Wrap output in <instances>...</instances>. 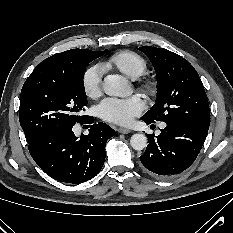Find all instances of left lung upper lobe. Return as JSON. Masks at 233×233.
I'll return each instance as SVG.
<instances>
[{"label": "left lung upper lobe", "instance_id": "obj_1", "mask_svg": "<svg viewBox=\"0 0 233 233\" xmlns=\"http://www.w3.org/2000/svg\"><path fill=\"white\" fill-rule=\"evenodd\" d=\"M157 73L159 99L142 117L154 123L189 122L209 129L210 110L203 84L194 67L166 49L140 47Z\"/></svg>", "mask_w": 233, "mask_h": 233}]
</instances>
